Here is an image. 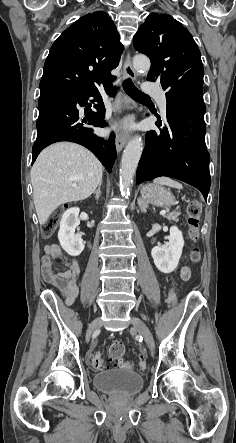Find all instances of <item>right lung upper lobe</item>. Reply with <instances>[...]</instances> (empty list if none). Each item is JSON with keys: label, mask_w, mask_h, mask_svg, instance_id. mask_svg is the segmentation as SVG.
<instances>
[{"label": "right lung upper lobe", "mask_w": 236, "mask_h": 443, "mask_svg": "<svg viewBox=\"0 0 236 443\" xmlns=\"http://www.w3.org/2000/svg\"><path fill=\"white\" fill-rule=\"evenodd\" d=\"M123 46L112 19L97 11L81 17L54 42L40 90H82L113 79Z\"/></svg>", "instance_id": "obj_1"}]
</instances>
